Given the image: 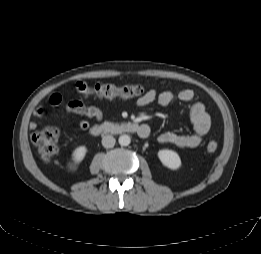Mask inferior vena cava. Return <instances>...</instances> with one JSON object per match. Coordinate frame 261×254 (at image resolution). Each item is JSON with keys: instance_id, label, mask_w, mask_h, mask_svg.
Listing matches in <instances>:
<instances>
[{"instance_id": "inferior-vena-cava-1", "label": "inferior vena cava", "mask_w": 261, "mask_h": 254, "mask_svg": "<svg viewBox=\"0 0 261 254\" xmlns=\"http://www.w3.org/2000/svg\"><path fill=\"white\" fill-rule=\"evenodd\" d=\"M115 138L111 135H106L102 138V145L105 148H112L115 145Z\"/></svg>"}]
</instances>
